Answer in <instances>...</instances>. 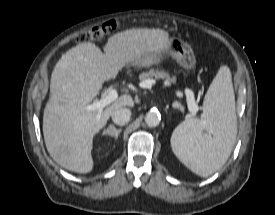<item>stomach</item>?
Segmentation results:
<instances>
[{
    "label": "stomach",
    "mask_w": 275,
    "mask_h": 215,
    "mask_svg": "<svg viewBox=\"0 0 275 215\" xmlns=\"http://www.w3.org/2000/svg\"><path fill=\"white\" fill-rule=\"evenodd\" d=\"M167 57H172L187 71L195 68L196 60L192 48L181 40L169 37L160 40L154 52L143 55L127 66H149Z\"/></svg>",
    "instance_id": "1"
}]
</instances>
